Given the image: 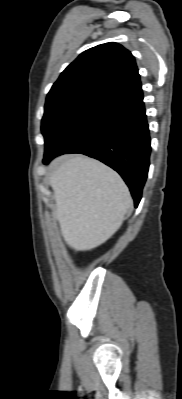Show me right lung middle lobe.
Masks as SVG:
<instances>
[{"label":"right lung middle lobe","instance_id":"obj_1","mask_svg":"<svg viewBox=\"0 0 182 399\" xmlns=\"http://www.w3.org/2000/svg\"><path fill=\"white\" fill-rule=\"evenodd\" d=\"M105 101L86 94H69L47 99L41 127L45 138V151L67 128Z\"/></svg>","mask_w":182,"mask_h":399}]
</instances>
